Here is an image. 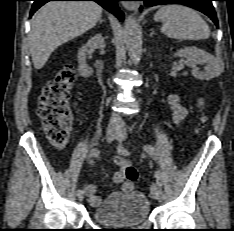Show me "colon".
<instances>
[{"label":"colon","instance_id":"1","mask_svg":"<svg viewBox=\"0 0 234 231\" xmlns=\"http://www.w3.org/2000/svg\"><path fill=\"white\" fill-rule=\"evenodd\" d=\"M74 82L75 70L73 66L66 65L47 83L40 97L39 116L48 141L57 148L65 147L70 139L69 127L73 117L70 100ZM198 106L203 108L205 99L200 98ZM118 165L119 170L114 176L116 182H134L137 179V171L130 162L119 159Z\"/></svg>","mask_w":234,"mask_h":231}]
</instances>
